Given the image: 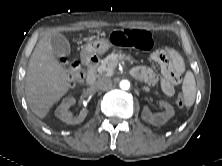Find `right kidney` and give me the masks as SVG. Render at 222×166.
<instances>
[{"label":"right kidney","instance_id":"right-kidney-1","mask_svg":"<svg viewBox=\"0 0 222 166\" xmlns=\"http://www.w3.org/2000/svg\"><path fill=\"white\" fill-rule=\"evenodd\" d=\"M76 103V99L73 97L65 98L60 106L56 109L55 115L67 124H79L84 121L88 114L87 109H83L77 117H74L71 112L68 111L69 107Z\"/></svg>","mask_w":222,"mask_h":166}]
</instances>
